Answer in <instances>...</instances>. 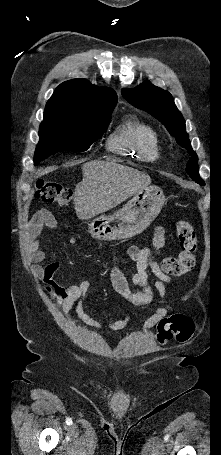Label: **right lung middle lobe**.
Masks as SVG:
<instances>
[{"instance_id":"right-lung-middle-lobe-1","label":"right lung middle lobe","mask_w":221,"mask_h":455,"mask_svg":"<svg viewBox=\"0 0 221 455\" xmlns=\"http://www.w3.org/2000/svg\"><path fill=\"white\" fill-rule=\"evenodd\" d=\"M112 111L113 108L83 119L44 114L39 129L40 141L35 151V165L59 151H86L102 136L110 123Z\"/></svg>"}]
</instances>
